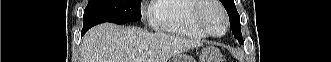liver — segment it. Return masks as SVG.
<instances>
[{
    "mask_svg": "<svg viewBox=\"0 0 331 62\" xmlns=\"http://www.w3.org/2000/svg\"><path fill=\"white\" fill-rule=\"evenodd\" d=\"M198 46L200 42L178 35L105 23L84 36L82 62H167Z\"/></svg>",
    "mask_w": 331,
    "mask_h": 62,
    "instance_id": "1",
    "label": "liver"
}]
</instances>
